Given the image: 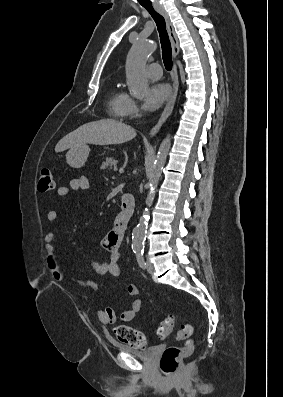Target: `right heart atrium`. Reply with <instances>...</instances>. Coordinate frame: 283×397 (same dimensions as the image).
<instances>
[{
  "label": "right heart atrium",
  "instance_id": "obj_1",
  "mask_svg": "<svg viewBox=\"0 0 283 397\" xmlns=\"http://www.w3.org/2000/svg\"><path fill=\"white\" fill-rule=\"evenodd\" d=\"M139 114H140V107L138 103L132 97L127 95L122 108V117L135 118L139 116Z\"/></svg>",
  "mask_w": 283,
  "mask_h": 397
}]
</instances>
